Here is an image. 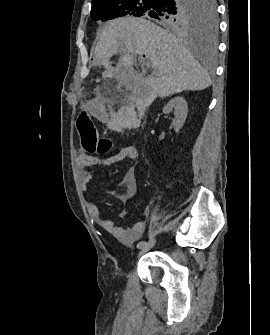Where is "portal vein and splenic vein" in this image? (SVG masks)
Instances as JSON below:
<instances>
[{"label":"portal vein and splenic vein","instance_id":"18ae733b","mask_svg":"<svg viewBox=\"0 0 270 335\" xmlns=\"http://www.w3.org/2000/svg\"><path fill=\"white\" fill-rule=\"evenodd\" d=\"M144 62H146V65H147L148 67H151V66L153 65V62H152L151 60H148V61H147V59H144Z\"/></svg>","mask_w":270,"mask_h":335}]
</instances>
